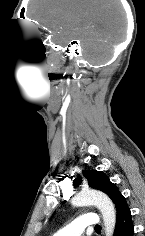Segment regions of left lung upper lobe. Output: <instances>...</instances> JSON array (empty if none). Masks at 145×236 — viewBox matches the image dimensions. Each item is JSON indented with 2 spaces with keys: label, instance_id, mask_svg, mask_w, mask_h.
I'll return each instance as SVG.
<instances>
[{
  "label": "left lung upper lobe",
  "instance_id": "1",
  "mask_svg": "<svg viewBox=\"0 0 145 236\" xmlns=\"http://www.w3.org/2000/svg\"><path fill=\"white\" fill-rule=\"evenodd\" d=\"M83 175L88 181L90 187L106 193L115 204L116 212H120L128 208L127 202L120 193L115 184L111 183L106 174L96 170H83ZM81 177H77L73 181V186L81 183Z\"/></svg>",
  "mask_w": 145,
  "mask_h": 236
}]
</instances>
